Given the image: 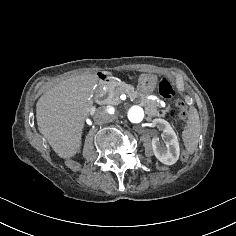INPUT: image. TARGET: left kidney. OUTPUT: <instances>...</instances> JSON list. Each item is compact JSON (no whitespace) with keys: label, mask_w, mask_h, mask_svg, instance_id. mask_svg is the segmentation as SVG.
<instances>
[{"label":"left kidney","mask_w":236,"mask_h":236,"mask_svg":"<svg viewBox=\"0 0 236 236\" xmlns=\"http://www.w3.org/2000/svg\"><path fill=\"white\" fill-rule=\"evenodd\" d=\"M153 126L161 132V135L166 142V145L164 146L159 139H152V149L155 157L164 165H174L180 155L179 142L175 132L170 125L162 119L153 120Z\"/></svg>","instance_id":"left-kidney-1"}]
</instances>
